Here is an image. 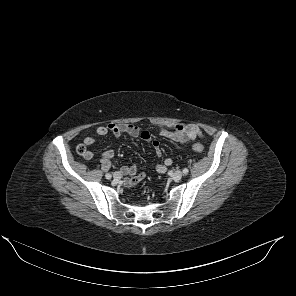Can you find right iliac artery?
I'll return each instance as SVG.
<instances>
[{"label":"right iliac artery","mask_w":296,"mask_h":296,"mask_svg":"<svg viewBox=\"0 0 296 296\" xmlns=\"http://www.w3.org/2000/svg\"><path fill=\"white\" fill-rule=\"evenodd\" d=\"M105 177H106L107 179H110L112 176H111V174L107 173V174L105 175Z\"/></svg>","instance_id":"obj_1"}]
</instances>
